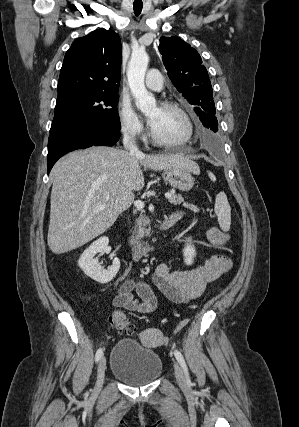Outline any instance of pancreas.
<instances>
[{"instance_id":"obj_1","label":"pancreas","mask_w":299,"mask_h":427,"mask_svg":"<svg viewBox=\"0 0 299 427\" xmlns=\"http://www.w3.org/2000/svg\"><path fill=\"white\" fill-rule=\"evenodd\" d=\"M169 202L174 205H180L183 204L185 208H189L193 212H199V208L193 204H189L184 201V198L180 194H171V197L169 198ZM151 232L150 227V220L144 215L140 214L138 219L136 220V229L135 232L132 235V240L136 241L139 240L145 236H149Z\"/></svg>"}]
</instances>
